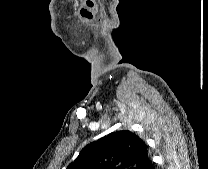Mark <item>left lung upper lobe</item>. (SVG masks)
Returning a JSON list of instances; mask_svg holds the SVG:
<instances>
[{"instance_id": "1", "label": "left lung upper lobe", "mask_w": 208, "mask_h": 169, "mask_svg": "<svg viewBox=\"0 0 208 169\" xmlns=\"http://www.w3.org/2000/svg\"><path fill=\"white\" fill-rule=\"evenodd\" d=\"M148 157L144 141L122 130L86 145L67 169H142Z\"/></svg>"}]
</instances>
